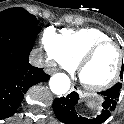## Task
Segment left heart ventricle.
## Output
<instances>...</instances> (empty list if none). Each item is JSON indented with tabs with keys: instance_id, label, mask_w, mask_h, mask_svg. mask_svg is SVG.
<instances>
[{
	"instance_id": "b2bd125f",
	"label": "left heart ventricle",
	"mask_w": 124,
	"mask_h": 124,
	"mask_svg": "<svg viewBox=\"0 0 124 124\" xmlns=\"http://www.w3.org/2000/svg\"><path fill=\"white\" fill-rule=\"evenodd\" d=\"M118 64V52L114 46L102 48L84 67L81 78L93 85L103 84L114 75Z\"/></svg>"
}]
</instances>
